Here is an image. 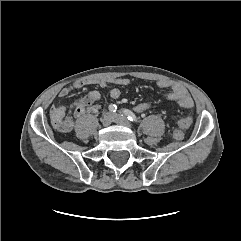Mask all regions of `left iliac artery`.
Returning a JSON list of instances; mask_svg holds the SVG:
<instances>
[{
	"instance_id": "1",
	"label": "left iliac artery",
	"mask_w": 241,
	"mask_h": 241,
	"mask_svg": "<svg viewBox=\"0 0 241 241\" xmlns=\"http://www.w3.org/2000/svg\"><path fill=\"white\" fill-rule=\"evenodd\" d=\"M122 113L128 118L129 121L134 122V123L138 122L136 115L133 112H131L130 110L123 109Z\"/></svg>"
}]
</instances>
